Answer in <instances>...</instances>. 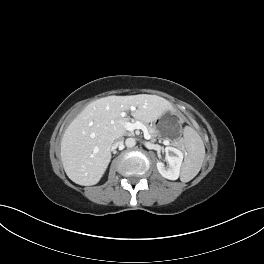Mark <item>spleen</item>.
Returning <instances> with one entry per match:
<instances>
[{
	"label": "spleen",
	"instance_id": "obj_1",
	"mask_svg": "<svg viewBox=\"0 0 264 264\" xmlns=\"http://www.w3.org/2000/svg\"><path fill=\"white\" fill-rule=\"evenodd\" d=\"M184 146L188 152L181 168V181L189 182L200 171L204 158L205 147L199 134L189 126L183 130Z\"/></svg>",
	"mask_w": 264,
	"mask_h": 264
}]
</instances>
